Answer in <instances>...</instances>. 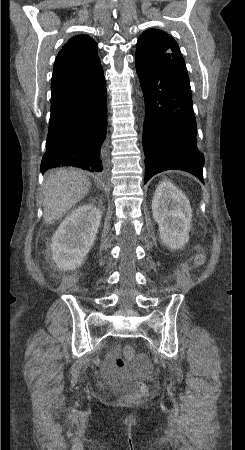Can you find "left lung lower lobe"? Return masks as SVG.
<instances>
[{
    "label": "left lung lower lobe",
    "mask_w": 245,
    "mask_h": 450,
    "mask_svg": "<svg viewBox=\"0 0 245 450\" xmlns=\"http://www.w3.org/2000/svg\"><path fill=\"white\" fill-rule=\"evenodd\" d=\"M145 99L143 148L145 184L155 174L177 169L202 183L203 154L197 148L192 96L164 71L136 64Z\"/></svg>",
    "instance_id": "1"
}]
</instances>
